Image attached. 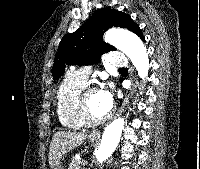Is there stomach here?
<instances>
[{
	"label": "stomach",
	"mask_w": 200,
	"mask_h": 169,
	"mask_svg": "<svg viewBox=\"0 0 200 169\" xmlns=\"http://www.w3.org/2000/svg\"><path fill=\"white\" fill-rule=\"evenodd\" d=\"M88 141H89L90 143H92V144L96 142V140L93 139V138H91V136H89ZM52 169H64V168L62 167V165H61L60 162H59V163H58L56 166H54Z\"/></svg>",
	"instance_id": "obj_1"
}]
</instances>
